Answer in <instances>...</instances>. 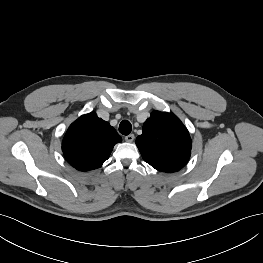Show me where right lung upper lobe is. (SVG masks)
<instances>
[{"label": "right lung upper lobe", "instance_id": "right-lung-upper-lobe-1", "mask_svg": "<svg viewBox=\"0 0 263 263\" xmlns=\"http://www.w3.org/2000/svg\"><path fill=\"white\" fill-rule=\"evenodd\" d=\"M121 141L108 122L91 112L70 125L62 142V151L74 168L89 171L101 167L114 145Z\"/></svg>", "mask_w": 263, "mask_h": 263}]
</instances>
